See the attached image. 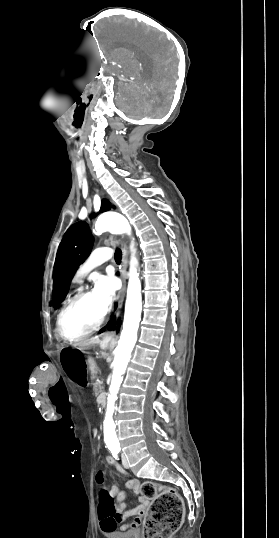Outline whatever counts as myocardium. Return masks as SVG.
Instances as JSON below:
<instances>
[{
	"mask_svg": "<svg viewBox=\"0 0 279 538\" xmlns=\"http://www.w3.org/2000/svg\"><path fill=\"white\" fill-rule=\"evenodd\" d=\"M104 232H105V227L99 221V223L97 224L96 230H95V234L100 235V234H103ZM93 293H94L93 290H87V289L79 291L78 293H76L67 302V304L63 307V309L59 313L58 318H57V322H56L57 332H58L59 336L61 337V339L64 340L65 342L70 343V344L78 343V342L84 340L85 338H87V337L93 335L94 333H96L100 329L101 325L103 324V322L105 320V317H106V311L101 315V317L99 318V320L97 321V323L95 324L94 327H92L90 330L86 331L85 333H83V334H81V335H79V336H77L75 338H69L63 332L62 323H63V318H64L66 312L73 305H75L77 302L83 300L84 298L90 296Z\"/></svg>",
	"mask_w": 279,
	"mask_h": 538,
	"instance_id": "1",
	"label": "myocardium"
}]
</instances>
